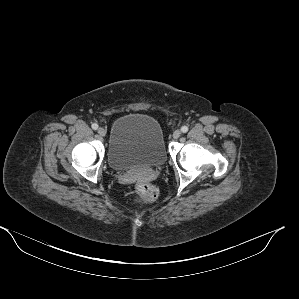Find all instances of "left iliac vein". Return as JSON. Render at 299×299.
Segmentation results:
<instances>
[{
    "label": "left iliac vein",
    "mask_w": 299,
    "mask_h": 299,
    "mask_svg": "<svg viewBox=\"0 0 299 299\" xmlns=\"http://www.w3.org/2000/svg\"><path fill=\"white\" fill-rule=\"evenodd\" d=\"M181 136V131L180 130H175L173 132V138L178 139Z\"/></svg>",
    "instance_id": "obj_1"
}]
</instances>
